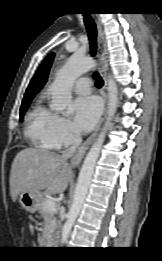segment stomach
<instances>
[{"label":"stomach","instance_id":"1","mask_svg":"<svg viewBox=\"0 0 162 261\" xmlns=\"http://www.w3.org/2000/svg\"><path fill=\"white\" fill-rule=\"evenodd\" d=\"M41 200L40 194H31L28 192H23L20 194L19 202L22 205V207L31 213H34L38 210L39 204Z\"/></svg>","mask_w":162,"mask_h":261}]
</instances>
